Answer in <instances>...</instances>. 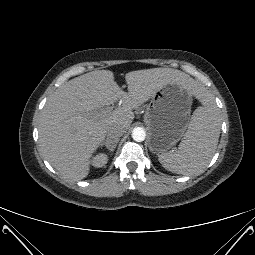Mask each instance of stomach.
I'll return each instance as SVG.
<instances>
[{
  "label": "stomach",
  "mask_w": 255,
  "mask_h": 255,
  "mask_svg": "<svg viewBox=\"0 0 255 255\" xmlns=\"http://www.w3.org/2000/svg\"><path fill=\"white\" fill-rule=\"evenodd\" d=\"M150 99L153 112L147 124L149 149L154 154L170 150L184 136L189 125L193 94L179 82H170Z\"/></svg>",
  "instance_id": "stomach-1"
}]
</instances>
